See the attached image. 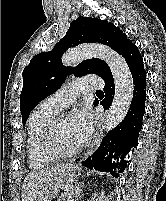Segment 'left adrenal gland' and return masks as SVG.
Wrapping results in <instances>:
<instances>
[{
    "mask_svg": "<svg viewBox=\"0 0 166 201\" xmlns=\"http://www.w3.org/2000/svg\"><path fill=\"white\" fill-rule=\"evenodd\" d=\"M81 184L77 183L76 184V187H75V193H76V201H78V198H79V194H80V191H81Z\"/></svg>",
    "mask_w": 166,
    "mask_h": 201,
    "instance_id": "1",
    "label": "left adrenal gland"
}]
</instances>
